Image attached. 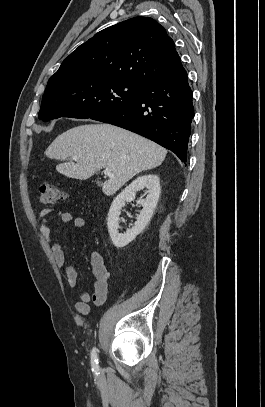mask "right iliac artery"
Returning <instances> with one entry per match:
<instances>
[{
    "label": "right iliac artery",
    "instance_id": "obj_1",
    "mask_svg": "<svg viewBox=\"0 0 265 407\" xmlns=\"http://www.w3.org/2000/svg\"><path fill=\"white\" fill-rule=\"evenodd\" d=\"M98 350L96 348H93L92 353H91V365H92V370L97 371L98 370V356H97Z\"/></svg>",
    "mask_w": 265,
    "mask_h": 407
}]
</instances>
